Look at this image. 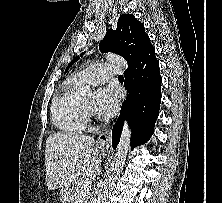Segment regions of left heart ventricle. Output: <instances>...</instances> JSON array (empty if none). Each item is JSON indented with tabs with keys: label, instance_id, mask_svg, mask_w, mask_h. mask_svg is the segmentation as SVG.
<instances>
[{
	"label": "left heart ventricle",
	"instance_id": "1",
	"mask_svg": "<svg viewBox=\"0 0 222 203\" xmlns=\"http://www.w3.org/2000/svg\"><path fill=\"white\" fill-rule=\"evenodd\" d=\"M92 103H93V100H92V99L87 100V105H88V106H91Z\"/></svg>",
	"mask_w": 222,
	"mask_h": 203
}]
</instances>
